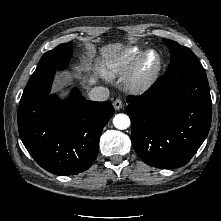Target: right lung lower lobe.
I'll use <instances>...</instances> for the list:
<instances>
[{
  "label": "right lung lower lobe",
  "instance_id": "obj_1",
  "mask_svg": "<svg viewBox=\"0 0 221 221\" xmlns=\"http://www.w3.org/2000/svg\"><path fill=\"white\" fill-rule=\"evenodd\" d=\"M55 72L30 77L19 104L18 129L24 146L42 168L67 176L91 166L114 109L110 101H87L76 88L67 101L58 102L50 95Z\"/></svg>",
  "mask_w": 221,
  "mask_h": 221
}]
</instances>
